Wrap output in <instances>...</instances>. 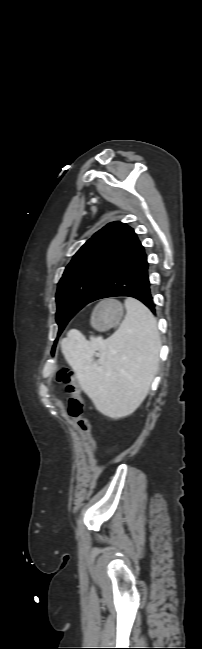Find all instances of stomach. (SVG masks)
<instances>
[{"label":"stomach","mask_w":202,"mask_h":649,"mask_svg":"<svg viewBox=\"0 0 202 649\" xmlns=\"http://www.w3.org/2000/svg\"><path fill=\"white\" fill-rule=\"evenodd\" d=\"M123 317V305L114 299L100 302L91 317L92 326L98 331H105L119 324Z\"/></svg>","instance_id":"obj_1"}]
</instances>
